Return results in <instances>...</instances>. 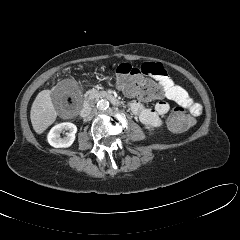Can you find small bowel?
I'll use <instances>...</instances> for the list:
<instances>
[{
	"instance_id": "small-bowel-1",
	"label": "small bowel",
	"mask_w": 240,
	"mask_h": 240,
	"mask_svg": "<svg viewBox=\"0 0 240 240\" xmlns=\"http://www.w3.org/2000/svg\"><path fill=\"white\" fill-rule=\"evenodd\" d=\"M140 69L145 75L152 77L163 87L166 99L187 109L194 116L201 114V104L195 101L183 87L174 83L162 64L147 62L142 64ZM130 108L143 124L159 128L163 124L162 116L168 113L170 105L167 101L160 100L154 108H149L141 102L133 100L130 102Z\"/></svg>"
}]
</instances>
